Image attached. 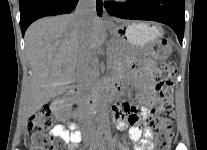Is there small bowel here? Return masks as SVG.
Wrapping results in <instances>:
<instances>
[{
  "instance_id": "1",
  "label": "small bowel",
  "mask_w": 207,
  "mask_h": 150,
  "mask_svg": "<svg viewBox=\"0 0 207 150\" xmlns=\"http://www.w3.org/2000/svg\"><path fill=\"white\" fill-rule=\"evenodd\" d=\"M126 66L133 68L132 76L139 86L137 99L142 106L116 102L112 107L113 120L119 129H128L131 141L138 143L135 150H152V144L149 141L152 132L148 128L144 129L143 123L149 118L150 108L157 102L153 81L156 64L149 59L142 60L137 64L125 62L121 72ZM117 90H120L119 86ZM51 134L66 143L68 150H76L82 139L81 132L76 129V125L73 123H70L67 128L57 125L52 129ZM112 144L111 150H130V145H124V140H113Z\"/></svg>"
}]
</instances>
